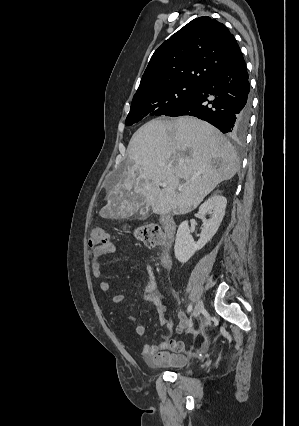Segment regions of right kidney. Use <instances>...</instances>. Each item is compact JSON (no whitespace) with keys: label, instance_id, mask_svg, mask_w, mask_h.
Segmentation results:
<instances>
[{"label":"right kidney","instance_id":"1","mask_svg":"<svg viewBox=\"0 0 299 426\" xmlns=\"http://www.w3.org/2000/svg\"><path fill=\"white\" fill-rule=\"evenodd\" d=\"M226 205L227 199L224 196L213 194L199 207L203 227L197 242L190 234L188 221H183L179 225L174 246L175 257L179 262L186 263L196 251L202 249L212 239L223 220ZM206 214H210V219L205 218Z\"/></svg>","mask_w":299,"mask_h":426}]
</instances>
